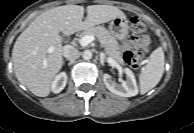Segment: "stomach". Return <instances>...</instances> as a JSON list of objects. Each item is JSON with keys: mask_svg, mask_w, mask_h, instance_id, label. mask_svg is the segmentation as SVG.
<instances>
[{"mask_svg": "<svg viewBox=\"0 0 194 133\" xmlns=\"http://www.w3.org/2000/svg\"><path fill=\"white\" fill-rule=\"evenodd\" d=\"M109 33L116 39H124L129 32V25L125 17H116L109 23Z\"/></svg>", "mask_w": 194, "mask_h": 133, "instance_id": "1", "label": "stomach"}]
</instances>
